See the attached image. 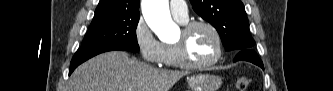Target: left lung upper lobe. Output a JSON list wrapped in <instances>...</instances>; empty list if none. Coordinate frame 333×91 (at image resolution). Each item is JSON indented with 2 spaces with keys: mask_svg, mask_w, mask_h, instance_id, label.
<instances>
[{
  "mask_svg": "<svg viewBox=\"0 0 333 91\" xmlns=\"http://www.w3.org/2000/svg\"><path fill=\"white\" fill-rule=\"evenodd\" d=\"M194 11L218 31L227 51L252 49L255 41L241 0H190Z\"/></svg>",
  "mask_w": 333,
  "mask_h": 91,
  "instance_id": "obj_1",
  "label": "left lung upper lobe"
}]
</instances>
